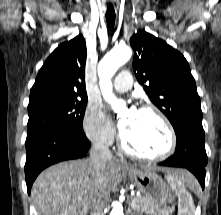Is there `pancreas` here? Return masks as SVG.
<instances>
[{
    "instance_id": "1",
    "label": "pancreas",
    "mask_w": 221,
    "mask_h": 215,
    "mask_svg": "<svg viewBox=\"0 0 221 215\" xmlns=\"http://www.w3.org/2000/svg\"><path fill=\"white\" fill-rule=\"evenodd\" d=\"M132 206L138 213H146L149 215H169L168 211L159 208L143 196H134L132 198Z\"/></svg>"
}]
</instances>
